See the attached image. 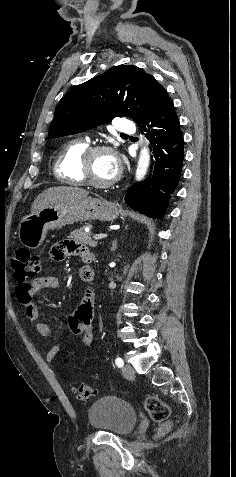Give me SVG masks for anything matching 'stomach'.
<instances>
[{"label": "stomach", "instance_id": "obj_1", "mask_svg": "<svg viewBox=\"0 0 236 477\" xmlns=\"http://www.w3.org/2000/svg\"><path fill=\"white\" fill-rule=\"evenodd\" d=\"M120 208L102 198H81L49 206L35 214L23 217L18 225L21 244L37 249L44 242L50 229L61 228L73 222L89 220L113 221Z\"/></svg>", "mask_w": 236, "mask_h": 477}]
</instances>
